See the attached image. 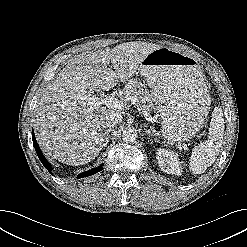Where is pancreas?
<instances>
[{"label": "pancreas", "instance_id": "cf45deb5", "mask_svg": "<svg viewBox=\"0 0 247 247\" xmlns=\"http://www.w3.org/2000/svg\"><path fill=\"white\" fill-rule=\"evenodd\" d=\"M124 95L125 98L132 96L136 97L138 99V105L140 111L142 112L149 111L154 107V101L152 95L144 87V85L141 82H138L137 80L131 81L126 86Z\"/></svg>", "mask_w": 247, "mask_h": 247}]
</instances>
